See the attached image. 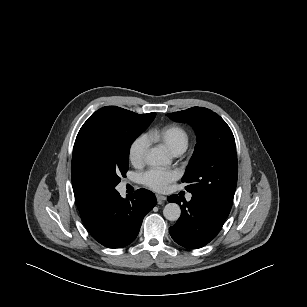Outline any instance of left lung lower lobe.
<instances>
[{
    "instance_id": "left-lung-lower-lobe-1",
    "label": "left lung lower lobe",
    "mask_w": 307,
    "mask_h": 307,
    "mask_svg": "<svg viewBox=\"0 0 307 307\" xmlns=\"http://www.w3.org/2000/svg\"><path fill=\"white\" fill-rule=\"evenodd\" d=\"M167 200L179 205L183 201L182 215L177 223L169 228V232L176 243L186 248L196 249L208 244L219 233L227 218L196 197L187 202L181 200L178 195H171Z\"/></svg>"
}]
</instances>
